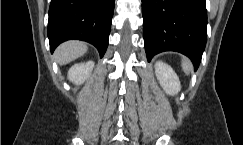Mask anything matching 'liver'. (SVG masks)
<instances>
[{
    "mask_svg": "<svg viewBox=\"0 0 243 145\" xmlns=\"http://www.w3.org/2000/svg\"><path fill=\"white\" fill-rule=\"evenodd\" d=\"M87 45L80 41H67L55 51V58L60 65L68 64L87 52Z\"/></svg>",
    "mask_w": 243,
    "mask_h": 145,
    "instance_id": "6515ba94",
    "label": "liver"
}]
</instances>
